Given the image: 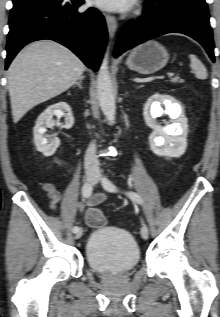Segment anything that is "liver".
Masks as SVG:
<instances>
[{
	"label": "liver",
	"mask_w": 220,
	"mask_h": 317,
	"mask_svg": "<svg viewBox=\"0 0 220 317\" xmlns=\"http://www.w3.org/2000/svg\"><path fill=\"white\" fill-rule=\"evenodd\" d=\"M85 70L83 62L54 41H36L23 48L8 69L13 122L34 106L69 89Z\"/></svg>",
	"instance_id": "liver-1"
}]
</instances>
